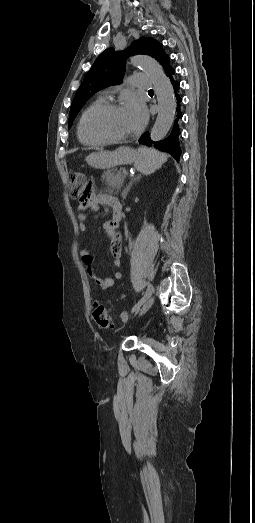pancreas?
I'll return each instance as SVG.
<instances>
[{
    "label": "pancreas",
    "mask_w": 255,
    "mask_h": 523,
    "mask_svg": "<svg viewBox=\"0 0 255 523\" xmlns=\"http://www.w3.org/2000/svg\"><path fill=\"white\" fill-rule=\"evenodd\" d=\"M102 178L109 186L108 192L118 194L126 175H122V170H108V172H104Z\"/></svg>",
    "instance_id": "pancreas-1"
}]
</instances>
